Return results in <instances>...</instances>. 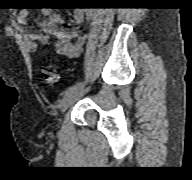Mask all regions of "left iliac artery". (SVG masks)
<instances>
[{
  "label": "left iliac artery",
  "instance_id": "1",
  "mask_svg": "<svg viewBox=\"0 0 192 180\" xmlns=\"http://www.w3.org/2000/svg\"><path fill=\"white\" fill-rule=\"evenodd\" d=\"M83 84H84V83H83L82 81H80V82L74 84L73 86L69 87V88L64 92V96H67L69 93H71V92L77 90L78 88L82 87Z\"/></svg>",
  "mask_w": 192,
  "mask_h": 180
}]
</instances>
